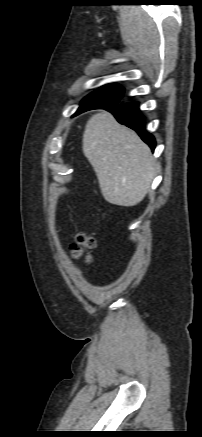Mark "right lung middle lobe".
<instances>
[{
  "label": "right lung middle lobe",
  "instance_id": "1",
  "mask_svg": "<svg viewBox=\"0 0 202 437\" xmlns=\"http://www.w3.org/2000/svg\"><path fill=\"white\" fill-rule=\"evenodd\" d=\"M124 88L118 84L105 85L85 97L75 115L91 109H98L104 105H114L120 102Z\"/></svg>",
  "mask_w": 202,
  "mask_h": 437
}]
</instances>
